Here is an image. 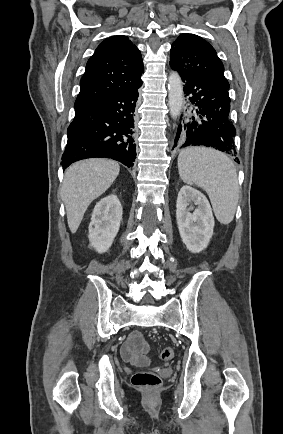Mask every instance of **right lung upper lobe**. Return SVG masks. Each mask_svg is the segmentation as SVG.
<instances>
[{
  "mask_svg": "<svg viewBox=\"0 0 283 434\" xmlns=\"http://www.w3.org/2000/svg\"><path fill=\"white\" fill-rule=\"evenodd\" d=\"M143 71L141 53L127 36L104 40L87 62L74 107L129 90Z\"/></svg>",
  "mask_w": 283,
  "mask_h": 434,
  "instance_id": "obj_1",
  "label": "right lung upper lobe"
}]
</instances>
